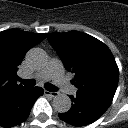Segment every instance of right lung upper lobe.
<instances>
[{
  "mask_svg": "<svg viewBox=\"0 0 128 128\" xmlns=\"http://www.w3.org/2000/svg\"><path fill=\"white\" fill-rule=\"evenodd\" d=\"M46 34L18 29L0 32V102L15 90L22 88L16 83L17 67L26 52L45 38Z\"/></svg>",
  "mask_w": 128,
  "mask_h": 128,
  "instance_id": "1",
  "label": "right lung upper lobe"
}]
</instances>
